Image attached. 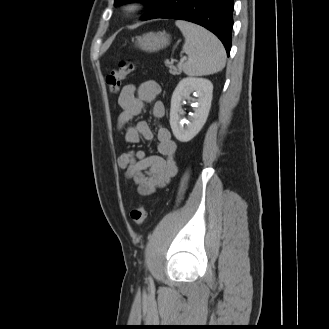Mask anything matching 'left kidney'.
Returning <instances> with one entry per match:
<instances>
[{
    "instance_id": "1",
    "label": "left kidney",
    "mask_w": 329,
    "mask_h": 329,
    "mask_svg": "<svg viewBox=\"0 0 329 329\" xmlns=\"http://www.w3.org/2000/svg\"><path fill=\"white\" fill-rule=\"evenodd\" d=\"M192 92L196 93V108L191 122L184 126L179 115L181 102L189 98ZM212 92L213 85L208 79L187 77L178 83L171 98L170 109V126L177 140L188 142L202 129L211 107Z\"/></svg>"
}]
</instances>
